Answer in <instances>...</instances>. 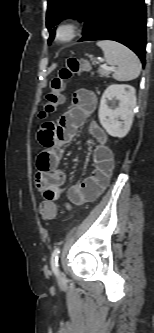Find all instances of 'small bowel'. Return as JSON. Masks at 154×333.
I'll list each match as a JSON object with an SVG mask.
<instances>
[{
  "instance_id": "c3829d8e",
  "label": "small bowel",
  "mask_w": 154,
  "mask_h": 333,
  "mask_svg": "<svg viewBox=\"0 0 154 333\" xmlns=\"http://www.w3.org/2000/svg\"><path fill=\"white\" fill-rule=\"evenodd\" d=\"M96 105L97 98L93 91L78 89L72 96L71 108L57 122L46 121L39 127L37 136L43 149L37 157L35 184L46 200L54 203L60 199L65 182V174L59 167L64 147L90 118ZM89 133L95 140L94 169L88 177L69 188L67 198L74 205L97 199L109 184L114 168L113 154L107 146L104 129L92 121Z\"/></svg>"
}]
</instances>
